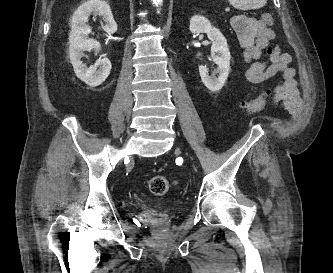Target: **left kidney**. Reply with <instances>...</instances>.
I'll use <instances>...</instances> for the list:
<instances>
[{
  "label": "left kidney",
  "instance_id": "1",
  "mask_svg": "<svg viewBox=\"0 0 333 273\" xmlns=\"http://www.w3.org/2000/svg\"><path fill=\"white\" fill-rule=\"evenodd\" d=\"M191 33H206L212 42L211 56L215 64H217L218 77L209 76L206 66H199V73L204 85L212 92L219 91L227 80L230 71V51L227 40L219 29L212 26L210 21L199 15H195L190 20Z\"/></svg>",
  "mask_w": 333,
  "mask_h": 273
}]
</instances>
